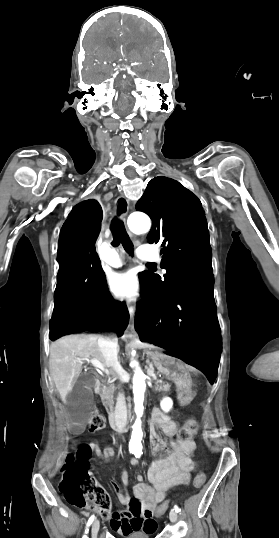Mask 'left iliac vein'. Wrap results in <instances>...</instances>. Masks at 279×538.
<instances>
[{
  "label": "left iliac vein",
  "mask_w": 279,
  "mask_h": 538,
  "mask_svg": "<svg viewBox=\"0 0 279 538\" xmlns=\"http://www.w3.org/2000/svg\"><path fill=\"white\" fill-rule=\"evenodd\" d=\"M169 518H170V521H171L172 523H175V522L177 521L178 515H177V512H176L174 509H172V510L170 511V513H169Z\"/></svg>",
  "instance_id": "obj_1"
}]
</instances>
